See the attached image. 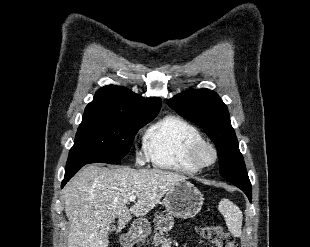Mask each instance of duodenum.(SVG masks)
Returning a JSON list of instances; mask_svg holds the SVG:
<instances>
[{"label":"duodenum","mask_w":310,"mask_h":247,"mask_svg":"<svg viewBox=\"0 0 310 247\" xmlns=\"http://www.w3.org/2000/svg\"><path fill=\"white\" fill-rule=\"evenodd\" d=\"M123 241H124V244H125L127 247H128V246L130 245V243H131V240H130V238H129L128 235H125V236H124Z\"/></svg>","instance_id":"obj_1"}]
</instances>
